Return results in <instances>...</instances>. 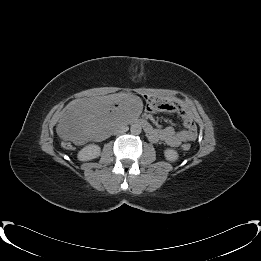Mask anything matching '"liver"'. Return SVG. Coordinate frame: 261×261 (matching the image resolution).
I'll return each mask as SVG.
<instances>
[{
    "label": "liver",
    "instance_id": "1",
    "mask_svg": "<svg viewBox=\"0 0 261 261\" xmlns=\"http://www.w3.org/2000/svg\"><path fill=\"white\" fill-rule=\"evenodd\" d=\"M144 107L143 98L133 92L81 99L67 110L56 131L62 139L80 144L121 120L138 118Z\"/></svg>",
    "mask_w": 261,
    "mask_h": 261
}]
</instances>
